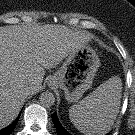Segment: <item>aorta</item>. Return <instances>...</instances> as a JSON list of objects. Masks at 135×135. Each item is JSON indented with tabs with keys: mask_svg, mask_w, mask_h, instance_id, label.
<instances>
[{
	"mask_svg": "<svg viewBox=\"0 0 135 135\" xmlns=\"http://www.w3.org/2000/svg\"><path fill=\"white\" fill-rule=\"evenodd\" d=\"M40 104L44 107H51L55 103V96L51 92H43L39 98Z\"/></svg>",
	"mask_w": 135,
	"mask_h": 135,
	"instance_id": "aorta-1",
	"label": "aorta"
}]
</instances>
